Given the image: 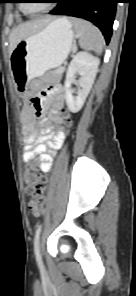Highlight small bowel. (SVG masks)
Returning <instances> with one entry per match:
<instances>
[{
	"label": "small bowel",
	"instance_id": "obj_1",
	"mask_svg": "<svg viewBox=\"0 0 136 296\" xmlns=\"http://www.w3.org/2000/svg\"><path fill=\"white\" fill-rule=\"evenodd\" d=\"M25 99L28 101L29 96ZM63 107V88L54 84L32 98L20 113L25 143L23 160L25 163L37 160L39 169L45 173L51 169L53 157L65 138ZM47 109L48 114L44 115Z\"/></svg>",
	"mask_w": 136,
	"mask_h": 296
}]
</instances>
